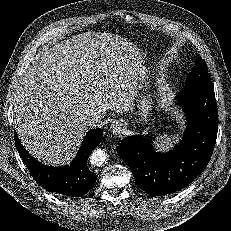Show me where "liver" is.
I'll return each instance as SVG.
<instances>
[{
    "label": "liver",
    "mask_w": 231,
    "mask_h": 231,
    "mask_svg": "<svg viewBox=\"0 0 231 231\" xmlns=\"http://www.w3.org/2000/svg\"><path fill=\"white\" fill-rule=\"evenodd\" d=\"M140 53L118 35L86 32L43 50L23 73L14 96L17 134L49 164L69 161L88 125L82 117L126 112L137 93Z\"/></svg>",
    "instance_id": "6515ba94"
}]
</instances>
